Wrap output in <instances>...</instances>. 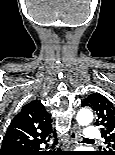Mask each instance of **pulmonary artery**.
Returning <instances> with one entry per match:
<instances>
[{"mask_svg":"<svg viewBox=\"0 0 115 155\" xmlns=\"http://www.w3.org/2000/svg\"><path fill=\"white\" fill-rule=\"evenodd\" d=\"M84 137L88 140H93L100 137V131L95 127H87L84 130Z\"/></svg>","mask_w":115,"mask_h":155,"instance_id":"pulmonary-artery-1","label":"pulmonary artery"}]
</instances>
